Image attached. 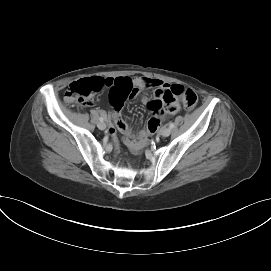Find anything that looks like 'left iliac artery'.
I'll use <instances>...</instances> for the list:
<instances>
[{
	"label": "left iliac artery",
	"instance_id": "44dca946",
	"mask_svg": "<svg viewBox=\"0 0 271 271\" xmlns=\"http://www.w3.org/2000/svg\"><path fill=\"white\" fill-rule=\"evenodd\" d=\"M174 126H175V125H174V123H172V122H171L170 125H169V127H170L171 129L174 128Z\"/></svg>",
	"mask_w": 271,
	"mask_h": 271
}]
</instances>
